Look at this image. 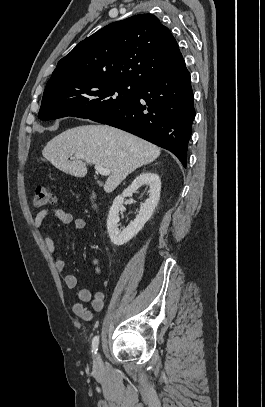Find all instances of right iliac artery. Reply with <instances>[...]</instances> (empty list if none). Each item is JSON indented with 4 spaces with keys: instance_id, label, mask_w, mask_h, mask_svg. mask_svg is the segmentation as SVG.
<instances>
[{
    "instance_id": "1",
    "label": "right iliac artery",
    "mask_w": 265,
    "mask_h": 407,
    "mask_svg": "<svg viewBox=\"0 0 265 407\" xmlns=\"http://www.w3.org/2000/svg\"><path fill=\"white\" fill-rule=\"evenodd\" d=\"M98 345H99V337H98V336H95V337L93 338V341H92V351H93L94 353L97 352V350H98Z\"/></svg>"
}]
</instances>
